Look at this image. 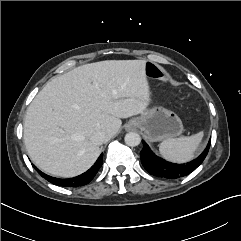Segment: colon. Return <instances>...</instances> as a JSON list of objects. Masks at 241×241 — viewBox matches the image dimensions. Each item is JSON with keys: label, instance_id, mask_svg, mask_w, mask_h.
I'll return each mask as SVG.
<instances>
[{"label": "colon", "instance_id": "5ec220e1", "mask_svg": "<svg viewBox=\"0 0 241 241\" xmlns=\"http://www.w3.org/2000/svg\"><path fill=\"white\" fill-rule=\"evenodd\" d=\"M143 68V75L145 79L149 81L160 80L162 82H167L171 78L170 71L165 69L163 64L156 63V61L152 59L145 61Z\"/></svg>", "mask_w": 241, "mask_h": 241}]
</instances>
